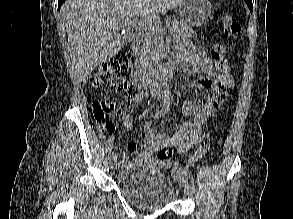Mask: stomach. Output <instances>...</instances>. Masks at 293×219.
Segmentation results:
<instances>
[{"mask_svg":"<svg viewBox=\"0 0 293 219\" xmlns=\"http://www.w3.org/2000/svg\"><path fill=\"white\" fill-rule=\"evenodd\" d=\"M214 13L209 0H184L179 5V15L182 20L192 26L208 24Z\"/></svg>","mask_w":293,"mask_h":219,"instance_id":"stomach-1","label":"stomach"}]
</instances>
